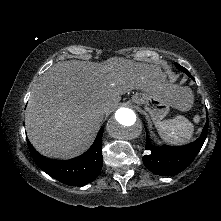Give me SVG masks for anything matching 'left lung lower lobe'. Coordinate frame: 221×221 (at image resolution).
<instances>
[{
	"instance_id": "1",
	"label": "left lung lower lobe",
	"mask_w": 221,
	"mask_h": 221,
	"mask_svg": "<svg viewBox=\"0 0 221 221\" xmlns=\"http://www.w3.org/2000/svg\"><path fill=\"white\" fill-rule=\"evenodd\" d=\"M189 77L194 79L191 74L183 68L182 70ZM146 128V127H145ZM208 133V120L204 126L201 136L194 142L178 147L163 145L155 147L150 143L149 137L146 139V150L149 155H145L142 160L144 165L153 173L168 176L182 172L194 160L200 151Z\"/></svg>"
}]
</instances>
